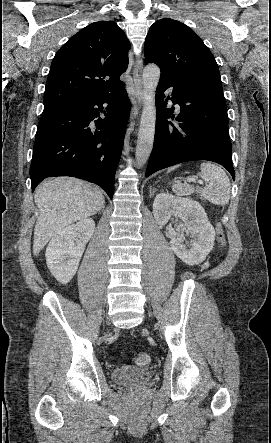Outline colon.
I'll use <instances>...</instances> for the list:
<instances>
[{"instance_id": "obj_1", "label": "colon", "mask_w": 271, "mask_h": 443, "mask_svg": "<svg viewBox=\"0 0 271 443\" xmlns=\"http://www.w3.org/2000/svg\"><path fill=\"white\" fill-rule=\"evenodd\" d=\"M217 234L219 242L224 245L226 243V237L220 224L217 225ZM135 362L137 365L147 366L150 363V356L147 353L140 352L136 355Z\"/></svg>"}]
</instances>
